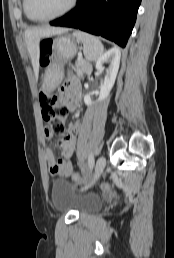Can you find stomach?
Segmentation results:
<instances>
[{
  "label": "stomach",
  "instance_id": "0dacf381",
  "mask_svg": "<svg viewBox=\"0 0 174 258\" xmlns=\"http://www.w3.org/2000/svg\"><path fill=\"white\" fill-rule=\"evenodd\" d=\"M51 49L52 55L43 77V91L46 94L51 93L61 83L64 63L77 53L76 42L70 35L53 39Z\"/></svg>",
  "mask_w": 174,
  "mask_h": 258
}]
</instances>
